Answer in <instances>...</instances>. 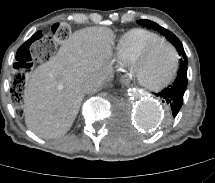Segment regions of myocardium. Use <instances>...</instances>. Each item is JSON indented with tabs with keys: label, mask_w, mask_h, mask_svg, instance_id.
<instances>
[{
	"label": "myocardium",
	"mask_w": 215,
	"mask_h": 183,
	"mask_svg": "<svg viewBox=\"0 0 215 183\" xmlns=\"http://www.w3.org/2000/svg\"><path fill=\"white\" fill-rule=\"evenodd\" d=\"M159 44H167L173 50L174 55H175V63H174L173 71L164 82H162L158 85H154V86L145 85L139 79V76L137 73V67L148 56V54L152 51V49L155 48ZM179 64H180V54H179L177 48L174 46V44H172L170 41H168L166 39H159V40H156V41L150 43L149 45H147L134 58V60L132 61V63L129 66V70L131 72L133 79L135 80V82L138 86L142 87L146 91L159 92V91L165 89L167 86H169L173 82V80L176 78L178 70H179Z\"/></svg>",
	"instance_id": "f54148a6"
}]
</instances>
